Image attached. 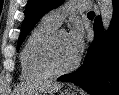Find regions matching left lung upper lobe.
Instances as JSON below:
<instances>
[{"mask_svg": "<svg viewBox=\"0 0 119 95\" xmlns=\"http://www.w3.org/2000/svg\"><path fill=\"white\" fill-rule=\"evenodd\" d=\"M64 0H28L25 19L17 43V50L40 18L50 10L57 8Z\"/></svg>", "mask_w": 119, "mask_h": 95, "instance_id": "5c2ea615", "label": "left lung upper lobe"}]
</instances>
